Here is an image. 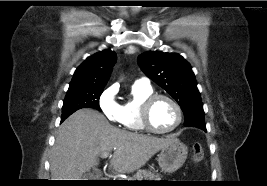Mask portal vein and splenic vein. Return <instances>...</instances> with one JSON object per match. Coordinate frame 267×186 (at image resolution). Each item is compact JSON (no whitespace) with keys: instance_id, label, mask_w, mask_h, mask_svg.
I'll use <instances>...</instances> for the list:
<instances>
[{"instance_id":"18ae733b","label":"portal vein and splenic vein","mask_w":267,"mask_h":186,"mask_svg":"<svg viewBox=\"0 0 267 186\" xmlns=\"http://www.w3.org/2000/svg\"><path fill=\"white\" fill-rule=\"evenodd\" d=\"M109 152H104V153H102L101 154V158H107V157H109Z\"/></svg>"}]
</instances>
